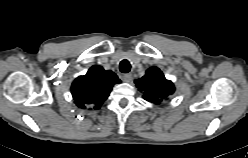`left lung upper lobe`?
<instances>
[{
	"label": "left lung upper lobe",
	"mask_w": 248,
	"mask_h": 158,
	"mask_svg": "<svg viewBox=\"0 0 248 158\" xmlns=\"http://www.w3.org/2000/svg\"><path fill=\"white\" fill-rule=\"evenodd\" d=\"M135 83L139 90L144 92L143 98L155 104H159L175 91L173 83L167 80L156 67L149 68L145 76L136 80Z\"/></svg>",
	"instance_id": "left-lung-upper-lobe-1"
}]
</instances>
